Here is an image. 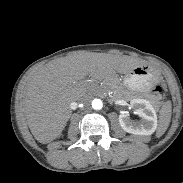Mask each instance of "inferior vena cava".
Returning <instances> with one entry per match:
<instances>
[{
    "label": "inferior vena cava",
    "mask_w": 183,
    "mask_h": 183,
    "mask_svg": "<svg viewBox=\"0 0 183 183\" xmlns=\"http://www.w3.org/2000/svg\"><path fill=\"white\" fill-rule=\"evenodd\" d=\"M81 103H87L88 102V97L87 96H83V97H80L78 99Z\"/></svg>",
    "instance_id": "inferior-vena-cava-1"
}]
</instances>
